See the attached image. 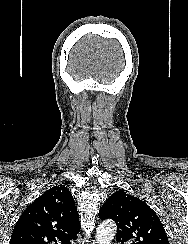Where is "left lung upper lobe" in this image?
Instances as JSON below:
<instances>
[{"label":"left lung upper lobe","mask_w":188,"mask_h":244,"mask_svg":"<svg viewBox=\"0 0 188 244\" xmlns=\"http://www.w3.org/2000/svg\"><path fill=\"white\" fill-rule=\"evenodd\" d=\"M99 217L116 222V239L122 244H169L156 213L142 200L124 191H117L107 199Z\"/></svg>","instance_id":"5c2ea615"}]
</instances>
